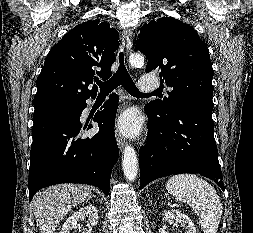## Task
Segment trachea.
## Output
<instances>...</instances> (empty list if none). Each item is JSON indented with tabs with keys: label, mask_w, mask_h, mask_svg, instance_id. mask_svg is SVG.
<instances>
[{
	"label": "trachea",
	"mask_w": 253,
	"mask_h": 233,
	"mask_svg": "<svg viewBox=\"0 0 253 233\" xmlns=\"http://www.w3.org/2000/svg\"><path fill=\"white\" fill-rule=\"evenodd\" d=\"M119 67L116 73L108 81L101 82L96 81L100 87V94H109L112 90L118 87L120 84L125 88V90L133 96H143L146 95L138 90L135 83L131 79L127 69L124 65V54L121 52L119 54Z\"/></svg>",
	"instance_id": "obj_1"
}]
</instances>
